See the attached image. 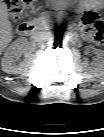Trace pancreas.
Here are the masks:
<instances>
[{
  "instance_id": "pancreas-1",
  "label": "pancreas",
  "mask_w": 104,
  "mask_h": 137,
  "mask_svg": "<svg viewBox=\"0 0 104 137\" xmlns=\"http://www.w3.org/2000/svg\"><path fill=\"white\" fill-rule=\"evenodd\" d=\"M33 24L40 27L44 28L45 26H50L51 25V20L47 16H42L33 21Z\"/></svg>"
}]
</instances>
